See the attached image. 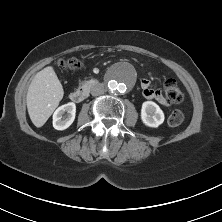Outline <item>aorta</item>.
Masks as SVG:
<instances>
[{
    "instance_id": "obj_1",
    "label": "aorta",
    "mask_w": 222,
    "mask_h": 222,
    "mask_svg": "<svg viewBox=\"0 0 222 222\" xmlns=\"http://www.w3.org/2000/svg\"><path fill=\"white\" fill-rule=\"evenodd\" d=\"M133 82L134 78L126 68L114 69L107 77V87L113 94L126 92Z\"/></svg>"
}]
</instances>
